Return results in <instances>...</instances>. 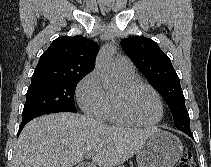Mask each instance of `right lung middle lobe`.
<instances>
[{"label": "right lung middle lobe", "mask_w": 211, "mask_h": 167, "mask_svg": "<svg viewBox=\"0 0 211 167\" xmlns=\"http://www.w3.org/2000/svg\"><path fill=\"white\" fill-rule=\"evenodd\" d=\"M83 77L31 82L27 91L22 121L56 112H77L74 93Z\"/></svg>", "instance_id": "dd1d6c3e"}]
</instances>
